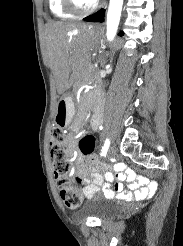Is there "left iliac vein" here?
Here are the masks:
<instances>
[{
    "label": "left iliac vein",
    "instance_id": "obj_1",
    "mask_svg": "<svg viewBox=\"0 0 183 246\" xmlns=\"http://www.w3.org/2000/svg\"><path fill=\"white\" fill-rule=\"evenodd\" d=\"M117 155V148L115 145H111L108 150V157L114 158Z\"/></svg>",
    "mask_w": 183,
    "mask_h": 246
}]
</instances>
